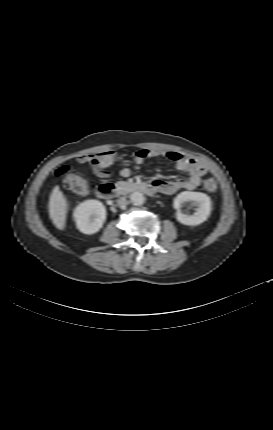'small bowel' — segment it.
<instances>
[{
	"instance_id": "small-bowel-1",
	"label": "small bowel",
	"mask_w": 273,
	"mask_h": 430,
	"mask_svg": "<svg viewBox=\"0 0 273 430\" xmlns=\"http://www.w3.org/2000/svg\"><path fill=\"white\" fill-rule=\"evenodd\" d=\"M159 157H167L176 163L177 169L185 171L189 174L188 178H180L173 181L155 180V185L158 192L171 195L181 189L194 190L201 184L202 177L207 173V168L204 164L193 158L186 157L176 151H164L160 149H141L134 155V162L137 165L144 164L147 160ZM82 163H89L95 174L99 177H108V168L114 165L118 156L114 151L102 152L96 155H84L78 159ZM121 176L129 177L131 169L128 167L120 171Z\"/></svg>"
}]
</instances>
